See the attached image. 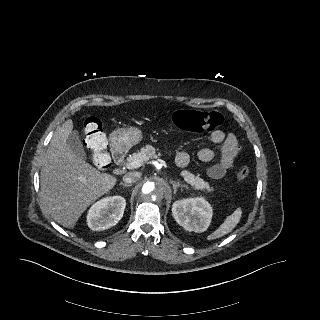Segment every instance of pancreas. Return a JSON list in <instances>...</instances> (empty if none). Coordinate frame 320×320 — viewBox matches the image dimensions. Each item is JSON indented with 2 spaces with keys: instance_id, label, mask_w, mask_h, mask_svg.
I'll use <instances>...</instances> for the list:
<instances>
[{
  "instance_id": "cf45deb5",
  "label": "pancreas",
  "mask_w": 320,
  "mask_h": 320,
  "mask_svg": "<svg viewBox=\"0 0 320 320\" xmlns=\"http://www.w3.org/2000/svg\"><path fill=\"white\" fill-rule=\"evenodd\" d=\"M158 155H161V154L158 153ZM156 157H157L156 149L151 145H146L144 148L141 149L140 152L132 154L128 158V162L145 161V160H149L151 158H156ZM181 176L195 190H203L207 192L213 191V188L210 187L208 182L204 181L198 175H194L193 173H190L188 170H183L181 172Z\"/></svg>"
}]
</instances>
